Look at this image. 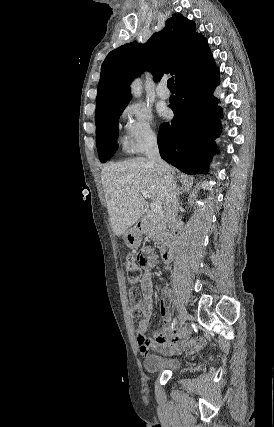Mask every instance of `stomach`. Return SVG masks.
Wrapping results in <instances>:
<instances>
[{"mask_svg":"<svg viewBox=\"0 0 274 427\" xmlns=\"http://www.w3.org/2000/svg\"><path fill=\"white\" fill-rule=\"evenodd\" d=\"M123 239L126 245H128V247H131V249H133V247H138L142 239V231L140 227H138V225H134V227H130V229H127V231L123 233Z\"/></svg>","mask_w":274,"mask_h":427,"instance_id":"obj_1","label":"stomach"}]
</instances>
